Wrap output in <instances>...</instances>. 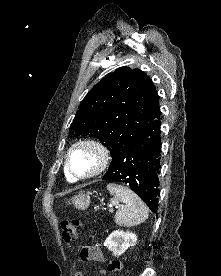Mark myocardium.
I'll list each match as a JSON object with an SVG mask.
<instances>
[{"instance_id": "obj_1", "label": "myocardium", "mask_w": 221, "mask_h": 276, "mask_svg": "<svg viewBox=\"0 0 221 276\" xmlns=\"http://www.w3.org/2000/svg\"><path fill=\"white\" fill-rule=\"evenodd\" d=\"M79 148H87L92 150L97 157V164L95 168L84 175H77L73 172L70 164V158L72 153ZM110 162V154L108 149L99 141L94 139H82L73 143L65 155V169L67 174L75 180H87L102 174L108 167Z\"/></svg>"}]
</instances>
